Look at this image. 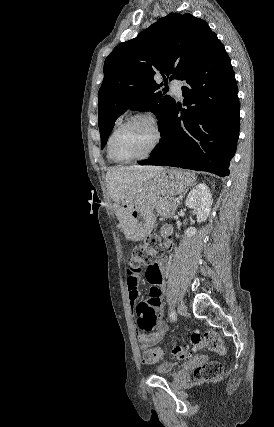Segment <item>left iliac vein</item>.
I'll list each match as a JSON object with an SVG mask.
<instances>
[{"label": "left iliac vein", "instance_id": "1", "mask_svg": "<svg viewBox=\"0 0 274 427\" xmlns=\"http://www.w3.org/2000/svg\"><path fill=\"white\" fill-rule=\"evenodd\" d=\"M177 309H178V312L182 315L187 313V307L183 303H180Z\"/></svg>", "mask_w": 274, "mask_h": 427}]
</instances>
